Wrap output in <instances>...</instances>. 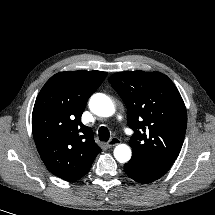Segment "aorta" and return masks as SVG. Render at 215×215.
Returning a JSON list of instances; mask_svg holds the SVG:
<instances>
[{"mask_svg":"<svg viewBox=\"0 0 215 215\" xmlns=\"http://www.w3.org/2000/svg\"><path fill=\"white\" fill-rule=\"evenodd\" d=\"M90 110L101 117H110L115 112L112 100L102 93L94 94L89 101ZM114 156L121 163L128 162L131 158V149L125 144L117 145L114 149Z\"/></svg>","mask_w":215,"mask_h":215,"instance_id":"obj_1","label":"aorta"}]
</instances>
